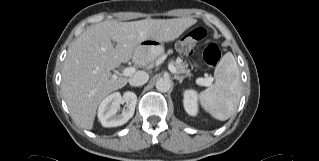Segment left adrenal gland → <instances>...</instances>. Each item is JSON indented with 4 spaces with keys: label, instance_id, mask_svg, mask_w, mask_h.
Masks as SVG:
<instances>
[{
    "label": "left adrenal gland",
    "instance_id": "1",
    "mask_svg": "<svg viewBox=\"0 0 319 161\" xmlns=\"http://www.w3.org/2000/svg\"><path fill=\"white\" fill-rule=\"evenodd\" d=\"M174 79H177V80H179V83H182V81H183V79H184V76H177V75H175V76H174Z\"/></svg>",
    "mask_w": 319,
    "mask_h": 161
}]
</instances>
